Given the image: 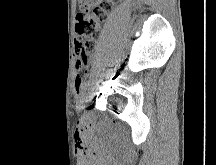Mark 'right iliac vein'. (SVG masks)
Masks as SVG:
<instances>
[{
    "mask_svg": "<svg viewBox=\"0 0 216 165\" xmlns=\"http://www.w3.org/2000/svg\"><path fill=\"white\" fill-rule=\"evenodd\" d=\"M87 105H88V102L85 103V104H82V103H81V106H80L79 108L82 110L83 108H86Z\"/></svg>",
    "mask_w": 216,
    "mask_h": 165,
    "instance_id": "obj_1",
    "label": "right iliac vein"
}]
</instances>
